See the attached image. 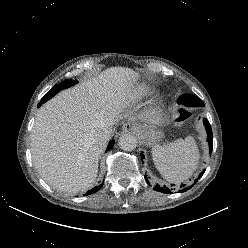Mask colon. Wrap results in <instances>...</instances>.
Here are the masks:
<instances>
[{"instance_id":"obj_1","label":"colon","mask_w":248,"mask_h":248,"mask_svg":"<svg viewBox=\"0 0 248 248\" xmlns=\"http://www.w3.org/2000/svg\"><path fill=\"white\" fill-rule=\"evenodd\" d=\"M191 116V113L185 109H182L181 110V113H180V118L179 120L180 121H183V120H186L188 119L189 117Z\"/></svg>"}]
</instances>
